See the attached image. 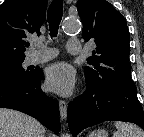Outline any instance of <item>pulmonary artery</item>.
Wrapping results in <instances>:
<instances>
[{"label":"pulmonary artery","instance_id":"pulmonary-artery-1","mask_svg":"<svg viewBox=\"0 0 144 137\" xmlns=\"http://www.w3.org/2000/svg\"><path fill=\"white\" fill-rule=\"evenodd\" d=\"M33 48H38V50L31 52L27 60L29 63H42L53 59L57 55V51L52 48H48L39 42H34ZM67 50L71 54H77L81 51V43L79 40L70 38L67 41Z\"/></svg>","mask_w":144,"mask_h":137}]
</instances>
